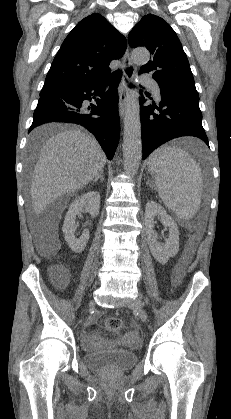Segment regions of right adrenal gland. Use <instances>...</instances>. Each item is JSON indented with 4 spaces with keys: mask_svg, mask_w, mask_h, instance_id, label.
Returning a JSON list of instances; mask_svg holds the SVG:
<instances>
[{
    "mask_svg": "<svg viewBox=\"0 0 231 419\" xmlns=\"http://www.w3.org/2000/svg\"><path fill=\"white\" fill-rule=\"evenodd\" d=\"M98 179H100L101 181H104V175H103V171H101L99 173V175L97 177L94 178L93 183L97 182Z\"/></svg>",
    "mask_w": 231,
    "mask_h": 419,
    "instance_id": "right-adrenal-gland-1",
    "label": "right adrenal gland"
}]
</instances>
